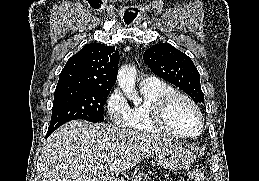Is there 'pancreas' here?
Returning a JSON list of instances; mask_svg holds the SVG:
<instances>
[{"mask_svg":"<svg viewBox=\"0 0 259 181\" xmlns=\"http://www.w3.org/2000/svg\"><path fill=\"white\" fill-rule=\"evenodd\" d=\"M149 175H154V173L149 172ZM148 178L149 177L147 173H139L133 177L132 181H147Z\"/></svg>","mask_w":259,"mask_h":181,"instance_id":"1","label":"pancreas"}]
</instances>
